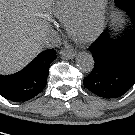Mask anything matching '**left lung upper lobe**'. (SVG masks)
I'll list each match as a JSON object with an SVG mask.
<instances>
[{
  "mask_svg": "<svg viewBox=\"0 0 135 135\" xmlns=\"http://www.w3.org/2000/svg\"><path fill=\"white\" fill-rule=\"evenodd\" d=\"M116 6L124 11H128L132 5H135V0H115Z\"/></svg>",
  "mask_w": 135,
  "mask_h": 135,
  "instance_id": "5c2ea615",
  "label": "left lung upper lobe"
}]
</instances>
